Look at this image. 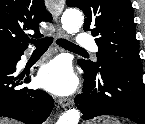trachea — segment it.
Wrapping results in <instances>:
<instances>
[{"label":"trachea","instance_id":"trachea-1","mask_svg":"<svg viewBox=\"0 0 145 124\" xmlns=\"http://www.w3.org/2000/svg\"><path fill=\"white\" fill-rule=\"evenodd\" d=\"M51 37H46L40 40H29L30 43H33L36 46L35 51H46L49 45L52 43ZM57 44L65 49H72V50H84L83 48L79 47L78 45L66 40V39H58Z\"/></svg>","mask_w":145,"mask_h":124}]
</instances>
